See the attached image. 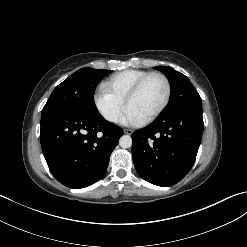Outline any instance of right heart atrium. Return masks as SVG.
<instances>
[{
    "mask_svg": "<svg viewBox=\"0 0 247 247\" xmlns=\"http://www.w3.org/2000/svg\"><path fill=\"white\" fill-rule=\"evenodd\" d=\"M94 103L99 113L109 122H116L124 108V100L117 97L105 86L94 95Z\"/></svg>",
    "mask_w": 247,
    "mask_h": 247,
    "instance_id": "right-heart-atrium-1",
    "label": "right heart atrium"
}]
</instances>
